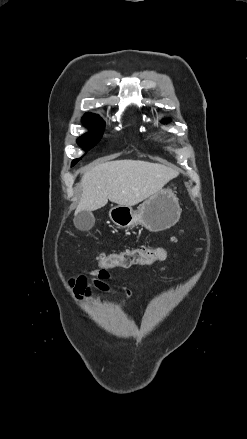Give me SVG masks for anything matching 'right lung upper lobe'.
<instances>
[{"instance_id":"obj_1","label":"right lung upper lobe","mask_w":247,"mask_h":439,"mask_svg":"<svg viewBox=\"0 0 247 439\" xmlns=\"http://www.w3.org/2000/svg\"><path fill=\"white\" fill-rule=\"evenodd\" d=\"M84 117H99V116H97V115H95V114H92V113H86V114L84 115Z\"/></svg>"}]
</instances>
